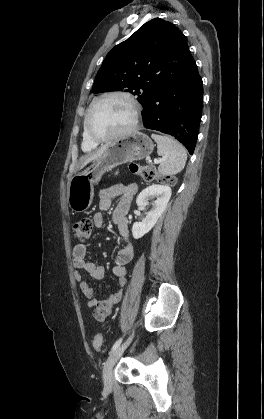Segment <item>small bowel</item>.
I'll use <instances>...</instances> for the list:
<instances>
[{
    "instance_id": "1",
    "label": "small bowel",
    "mask_w": 264,
    "mask_h": 419,
    "mask_svg": "<svg viewBox=\"0 0 264 419\" xmlns=\"http://www.w3.org/2000/svg\"><path fill=\"white\" fill-rule=\"evenodd\" d=\"M137 191V185H116L104 189L99 196V209L93 216L94 225L97 228L104 226L103 212L107 211L112 201L119 198L118 205L112 215L113 223L118 227L119 233L125 243L124 247L118 251L115 263L112 267L113 274L118 277L120 286L126 283V275L129 265L134 259V247L129 239L127 213L129 211L133 196ZM87 247L76 245L73 249V265L76 269L75 280L78 282L83 295L88 299V306L93 309L94 318L101 323L106 321L113 306L122 298V290L111 294L105 299H97L93 287L88 283L87 277L100 280L104 277L105 268L97 266L87 259Z\"/></svg>"
}]
</instances>
